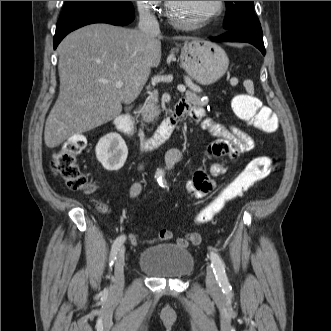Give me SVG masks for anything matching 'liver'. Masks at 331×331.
Masks as SVG:
<instances>
[{
	"label": "liver",
	"mask_w": 331,
	"mask_h": 331,
	"mask_svg": "<svg viewBox=\"0 0 331 331\" xmlns=\"http://www.w3.org/2000/svg\"><path fill=\"white\" fill-rule=\"evenodd\" d=\"M160 39L109 24H92L67 35L57 48L60 92L46 120V146L55 148L70 136L111 121L121 113L122 103L133 102L151 68L160 64ZM117 81L123 82L121 88H116Z\"/></svg>",
	"instance_id": "6515ba94"
}]
</instances>
